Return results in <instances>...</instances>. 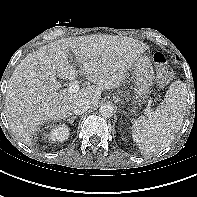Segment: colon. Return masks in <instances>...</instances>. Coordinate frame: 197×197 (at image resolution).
<instances>
[{
	"label": "colon",
	"instance_id": "obj_1",
	"mask_svg": "<svg viewBox=\"0 0 197 197\" xmlns=\"http://www.w3.org/2000/svg\"><path fill=\"white\" fill-rule=\"evenodd\" d=\"M153 62L157 71V79L160 84L165 85L172 79V72L168 66L165 55L161 52L153 54Z\"/></svg>",
	"mask_w": 197,
	"mask_h": 197
}]
</instances>
